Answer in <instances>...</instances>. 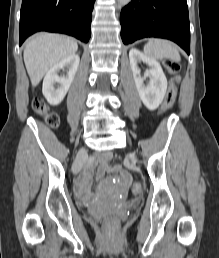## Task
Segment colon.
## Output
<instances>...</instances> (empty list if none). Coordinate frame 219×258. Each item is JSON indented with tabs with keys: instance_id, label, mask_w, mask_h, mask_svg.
<instances>
[{
	"instance_id": "1",
	"label": "colon",
	"mask_w": 219,
	"mask_h": 258,
	"mask_svg": "<svg viewBox=\"0 0 219 258\" xmlns=\"http://www.w3.org/2000/svg\"><path fill=\"white\" fill-rule=\"evenodd\" d=\"M164 67L171 76H175L179 70L180 66L176 61L165 60ZM177 96V88L173 81L170 82L164 101L160 108V114L166 113L171 109L175 103ZM33 109L36 113L43 116L46 123L51 127H56L59 123V118L57 114L49 112L45 102L40 98H35L33 100ZM134 196H139L141 194V186L139 183H134L131 187ZM120 223L117 217L108 216L103 222L104 235L107 237L115 236L119 231Z\"/></svg>"
}]
</instances>
